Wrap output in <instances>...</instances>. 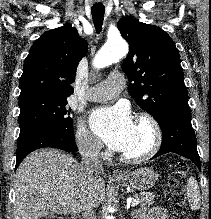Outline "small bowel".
Masks as SVG:
<instances>
[{
	"label": "small bowel",
	"mask_w": 211,
	"mask_h": 219,
	"mask_svg": "<svg viewBox=\"0 0 211 219\" xmlns=\"http://www.w3.org/2000/svg\"><path fill=\"white\" fill-rule=\"evenodd\" d=\"M136 219H168V212L163 207L157 206L141 211Z\"/></svg>",
	"instance_id": "obj_1"
}]
</instances>
